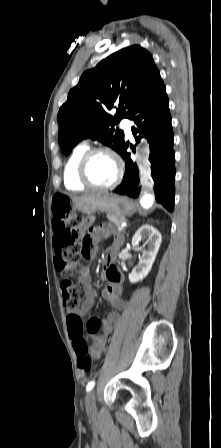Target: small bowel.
<instances>
[{
  "mask_svg": "<svg viewBox=\"0 0 221 448\" xmlns=\"http://www.w3.org/2000/svg\"><path fill=\"white\" fill-rule=\"evenodd\" d=\"M54 222L55 217L53 214L52 217V225H53V231L54 235L56 233L54 228ZM91 221L86 220L83 221L77 228L78 233L83 234L85 229L90 225ZM91 239V245H92V252L95 250V246L103 239V237L100 235V230L95 229L92 232ZM119 239H114L112 244L110 245L107 253V264L105 267V276L108 280V283L104 287L102 291L103 298L107 302V304L113 309V310H125L127 308V302L122 298V275L116 265L114 264V258L115 253L118 247ZM54 245V242H53ZM79 282L87 288L88 290V297L82 304L80 308H76L74 310H70L68 313V316H76L81 318L87 311L90 310V308L93 305L94 302V291L91 285L90 277H89V270L84 269L81 272ZM120 321V317L118 313L115 311L110 312L105 318H103L100 322V328H101V335L98 338L97 342L92 345L89 348V352L91 357L94 360H98L102 352L105 349L108 336L113 331L114 326ZM82 340L85 341V338L82 336ZM73 347H74V341L72 340ZM75 350V347H74Z\"/></svg>",
  "mask_w": 221,
  "mask_h": 448,
  "instance_id": "c3829d8e",
  "label": "small bowel"
}]
</instances>
